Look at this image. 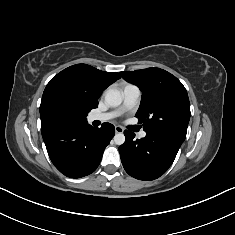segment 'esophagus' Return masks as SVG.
Instances as JSON below:
<instances>
[{
	"mask_svg": "<svg viewBox=\"0 0 235 235\" xmlns=\"http://www.w3.org/2000/svg\"><path fill=\"white\" fill-rule=\"evenodd\" d=\"M115 132L116 133H122L123 132V128L121 126H115Z\"/></svg>",
	"mask_w": 235,
	"mask_h": 235,
	"instance_id": "34e87169",
	"label": "esophagus"
}]
</instances>
